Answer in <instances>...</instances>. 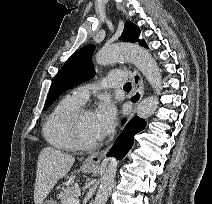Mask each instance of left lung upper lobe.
I'll use <instances>...</instances> for the list:
<instances>
[{
  "instance_id": "obj_1",
  "label": "left lung upper lobe",
  "mask_w": 212,
  "mask_h": 204,
  "mask_svg": "<svg viewBox=\"0 0 212 204\" xmlns=\"http://www.w3.org/2000/svg\"><path fill=\"white\" fill-rule=\"evenodd\" d=\"M139 35L140 29L132 22L128 21L126 22L124 31L119 39L124 42H139L141 45L147 47L144 41L138 39ZM94 49V45H88L77 50L70 56L56 74L51 84L44 110L47 109L64 91L81 84L94 76V69L91 62Z\"/></svg>"
}]
</instances>
